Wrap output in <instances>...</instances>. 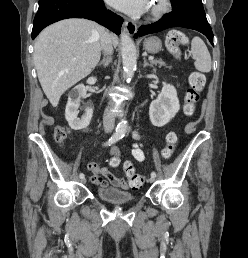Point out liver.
<instances>
[{
    "label": "liver",
    "mask_w": 248,
    "mask_h": 258,
    "mask_svg": "<svg viewBox=\"0 0 248 258\" xmlns=\"http://www.w3.org/2000/svg\"><path fill=\"white\" fill-rule=\"evenodd\" d=\"M106 30L86 19H65L36 38L33 60L41 87L56 107L61 95L98 64ZM117 45V37L112 36Z\"/></svg>",
    "instance_id": "obj_1"
}]
</instances>
